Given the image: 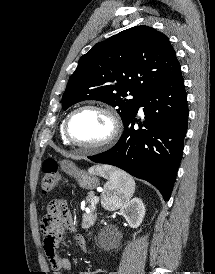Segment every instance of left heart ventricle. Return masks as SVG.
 Instances as JSON below:
<instances>
[{
  "instance_id": "left-heart-ventricle-1",
  "label": "left heart ventricle",
  "mask_w": 215,
  "mask_h": 274,
  "mask_svg": "<svg viewBox=\"0 0 215 274\" xmlns=\"http://www.w3.org/2000/svg\"><path fill=\"white\" fill-rule=\"evenodd\" d=\"M111 130L108 117L95 110L77 113L70 123V134L74 140L83 144L97 143L106 138Z\"/></svg>"
}]
</instances>
